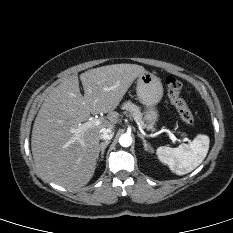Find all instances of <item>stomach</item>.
<instances>
[{
	"mask_svg": "<svg viewBox=\"0 0 233 233\" xmlns=\"http://www.w3.org/2000/svg\"><path fill=\"white\" fill-rule=\"evenodd\" d=\"M136 93L140 102L146 107L144 112L145 121L150 125L155 124L159 117L156 105L163 97V85L160 78L145 71L138 76Z\"/></svg>",
	"mask_w": 233,
	"mask_h": 233,
	"instance_id": "obj_1",
	"label": "stomach"
}]
</instances>
